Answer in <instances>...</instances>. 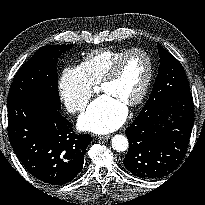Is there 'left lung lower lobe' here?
Returning a JSON list of instances; mask_svg holds the SVG:
<instances>
[{
  "label": "left lung lower lobe",
  "mask_w": 205,
  "mask_h": 205,
  "mask_svg": "<svg viewBox=\"0 0 205 205\" xmlns=\"http://www.w3.org/2000/svg\"><path fill=\"white\" fill-rule=\"evenodd\" d=\"M194 123L192 94H174L153 109L143 108L125 131L129 149L125 168L142 178L173 172L183 159Z\"/></svg>",
  "instance_id": "obj_1"
}]
</instances>
